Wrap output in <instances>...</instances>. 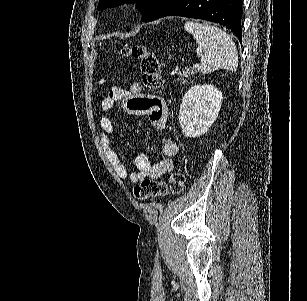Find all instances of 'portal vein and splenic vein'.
Wrapping results in <instances>:
<instances>
[{
	"instance_id": "portal-vein-and-splenic-vein-1",
	"label": "portal vein and splenic vein",
	"mask_w": 307,
	"mask_h": 301,
	"mask_svg": "<svg viewBox=\"0 0 307 301\" xmlns=\"http://www.w3.org/2000/svg\"><path fill=\"white\" fill-rule=\"evenodd\" d=\"M195 68H198L199 64H194Z\"/></svg>"
}]
</instances>
